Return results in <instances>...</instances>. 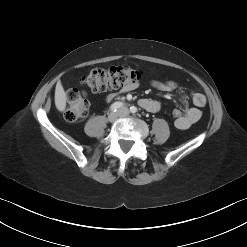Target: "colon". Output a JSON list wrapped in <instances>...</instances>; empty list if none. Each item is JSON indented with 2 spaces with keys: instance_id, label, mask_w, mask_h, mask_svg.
Returning a JSON list of instances; mask_svg holds the SVG:
<instances>
[{
  "instance_id": "obj_1",
  "label": "colon",
  "mask_w": 247,
  "mask_h": 247,
  "mask_svg": "<svg viewBox=\"0 0 247 247\" xmlns=\"http://www.w3.org/2000/svg\"><path fill=\"white\" fill-rule=\"evenodd\" d=\"M142 72L128 66H113L107 69L95 68L81 79V84L93 92L122 89L140 81ZM67 106L64 118L70 123L85 118L89 111V102L85 93L77 88H69L66 91ZM183 115L179 109L172 111L175 120Z\"/></svg>"
}]
</instances>
